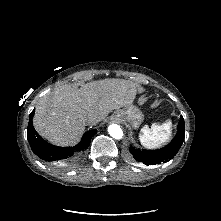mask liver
I'll return each instance as SVG.
<instances>
[{
  "instance_id": "obj_1",
  "label": "liver",
  "mask_w": 221,
  "mask_h": 221,
  "mask_svg": "<svg viewBox=\"0 0 221 221\" xmlns=\"http://www.w3.org/2000/svg\"><path fill=\"white\" fill-rule=\"evenodd\" d=\"M137 89L130 80L114 78L89 82L81 88L61 85L38 102L34 127L53 144H73L84 132L86 119L95 125L113 110L130 106Z\"/></svg>"
}]
</instances>
